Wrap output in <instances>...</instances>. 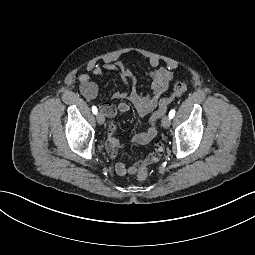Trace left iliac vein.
Here are the masks:
<instances>
[{"instance_id":"obj_1","label":"left iliac vein","mask_w":255,"mask_h":255,"mask_svg":"<svg viewBox=\"0 0 255 255\" xmlns=\"http://www.w3.org/2000/svg\"><path fill=\"white\" fill-rule=\"evenodd\" d=\"M161 123H162V126L164 128H168L171 125L170 117L169 116H164Z\"/></svg>"}]
</instances>
